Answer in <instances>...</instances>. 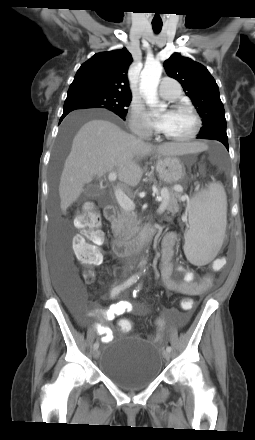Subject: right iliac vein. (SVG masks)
Returning a JSON list of instances; mask_svg holds the SVG:
<instances>
[{
  "label": "right iliac vein",
  "mask_w": 255,
  "mask_h": 440,
  "mask_svg": "<svg viewBox=\"0 0 255 440\" xmlns=\"http://www.w3.org/2000/svg\"><path fill=\"white\" fill-rule=\"evenodd\" d=\"M99 355H100L99 350H98V349H94V350H93V357H94L95 359H98V358H99Z\"/></svg>",
  "instance_id": "obj_1"
}]
</instances>
